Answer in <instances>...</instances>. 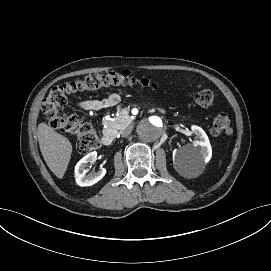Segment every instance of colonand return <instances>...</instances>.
Returning <instances> with one entry per match:
<instances>
[{
	"mask_svg": "<svg viewBox=\"0 0 271 271\" xmlns=\"http://www.w3.org/2000/svg\"><path fill=\"white\" fill-rule=\"evenodd\" d=\"M125 85L162 89L160 84L129 70L91 73L80 80L53 87L42 102V111L54 129L76 135L77 151L80 154H87L99 147L98 137L90 122L76 114L68 115L62 112L68 103V98L80 92H94L105 87ZM191 98L196 105L208 107L213 103L214 93L210 89H204L193 93ZM231 132L232 124L229 116L226 113H219L213 120L211 133L214 136H222L229 135Z\"/></svg>",
	"mask_w": 271,
	"mask_h": 271,
	"instance_id": "5ec220e1",
	"label": "colon"
}]
</instances>
